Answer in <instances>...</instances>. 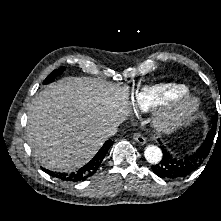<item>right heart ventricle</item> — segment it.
Returning <instances> with one entry per match:
<instances>
[{
  "mask_svg": "<svg viewBox=\"0 0 221 221\" xmlns=\"http://www.w3.org/2000/svg\"><path fill=\"white\" fill-rule=\"evenodd\" d=\"M188 93V88L180 84H156L144 86L135 91L132 106L135 111L145 113L154 110L161 102L179 99Z\"/></svg>",
  "mask_w": 221,
  "mask_h": 221,
  "instance_id": "obj_1",
  "label": "right heart ventricle"
}]
</instances>
